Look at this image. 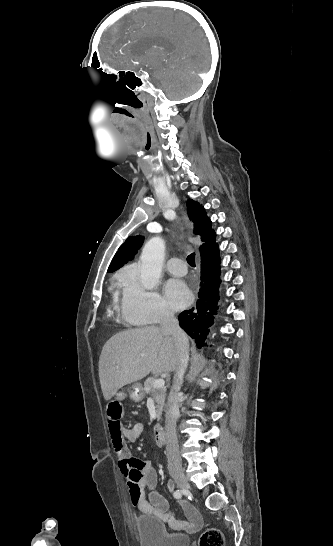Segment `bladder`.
Instances as JSON below:
<instances>
[{
    "label": "bladder",
    "mask_w": 333,
    "mask_h": 546,
    "mask_svg": "<svg viewBox=\"0 0 333 546\" xmlns=\"http://www.w3.org/2000/svg\"><path fill=\"white\" fill-rule=\"evenodd\" d=\"M135 529L140 546H190L188 535L168 533L161 521L152 516L138 518Z\"/></svg>",
    "instance_id": "1"
}]
</instances>
